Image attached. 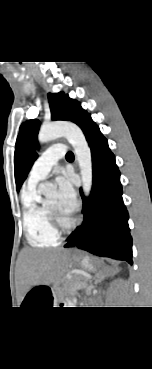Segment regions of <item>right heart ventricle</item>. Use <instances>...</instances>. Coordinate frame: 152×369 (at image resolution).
I'll return each mask as SVG.
<instances>
[{"label": "right heart ventricle", "instance_id": "obj_1", "mask_svg": "<svg viewBox=\"0 0 152 369\" xmlns=\"http://www.w3.org/2000/svg\"><path fill=\"white\" fill-rule=\"evenodd\" d=\"M23 228L33 247H51L59 243L60 235L53 228L45 203L36 185H27L21 195Z\"/></svg>", "mask_w": 152, "mask_h": 369}]
</instances>
